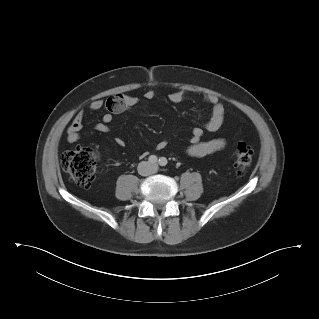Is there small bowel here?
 Returning a JSON list of instances; mask_svg holds the SVG:
<instances>
[{
    "instance_id": "c3829d8e",
    "label": "small bowel",
    "mask_w": 319,
    "mask_h": 319,
    "mask_svg": "<svg viewBox=\"0 0 319 319\" xmlns=\"http://www.w3.org/2000/svg\"><path fill=\"white\" fill-rule=\"evenodd\" d=\"M144 98L146 100H152L155 97V92L153 90H146L144 92ZM185 97V94L181 90L172 92L169 95L170 101L174 103L181 102ZM112 100V109L109 108L108 102ZM204 101L211 105L212 115L211 118L206 122L204 127H195L192 130L190 145L187 148V153L194 157H203L214 152L220 151L225 147V141L221 138H215L203 141L202 136L204 131L216 132L218 131L224 123L225 120V107L221 103L218 96L214 94H209L204 97ZM138 102V99L132 95H118L114 96L107 101L102 99H96L92 101L89 105L91 111H99L104 109L105 113L102 116L101 122L96 124L95 130L100 133H107L110 128L109 124L113 121L114 113L122 112L130 109ZM84 111L81 110L77 112L74 116L72 122L69 124L66 130V139L69 143H75L80 139L81 131L84 123ZM116 143L120 146L125 144L124 140L120 137L116 138ZM167 145L166 141H160L157 144L158 149H164Z\"/></svg>"
}]
</instances>
